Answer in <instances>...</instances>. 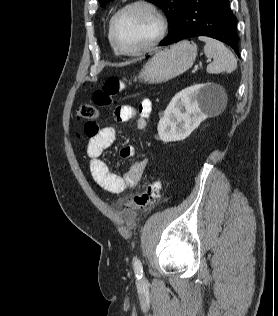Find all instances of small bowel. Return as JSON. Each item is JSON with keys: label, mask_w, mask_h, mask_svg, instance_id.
<instances>
[{"label": "small bowel", "mask_w": 278, "mask_h": 316, "mask_svg": "<svg viewBox=\"0 0 278 316\" xmlns=\"http://www.w3.org/2000/svg\"><path fill=\"white\" fill-rule=\"evenodd\" d=\"M151 111V101L143 99L136 107L131 105L117 106L113 117L118 122H126L135 118L137 129L143 131L147 126ZM115 139V128L111 126L99 128L96 134L89 136L86 154L89 158V169L94 181L104 190L113 194H120L126 189L134 188L139 184L146 166V160H137L123 175L113 173L106 162L101 159V155L114 143ZM120 155L124 158H133L135 149L132 146H124L120 150Z\"/></svg>", "instance_id": "small-bowel-1"}]
</instances>
